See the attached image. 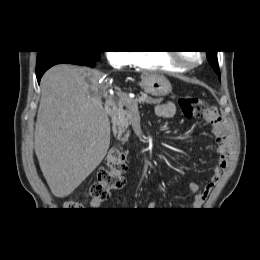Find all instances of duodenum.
<instances>
[{
    "label": "duodenum",
    "instance_id": "1",
    "mask_svg": "<svg viewBox=\"0 0 260 260\" xmlns=\"http://www.w3.org/2000/svg\"><path fill=\"white\" fill-rule=\"evenodd\" d=\"M106 112L110 117H114L116 115V107L112 103H107L105 106Z\"/></svg>",
    "mask_w": 260,
    "mask_h": 260
}]
</instances>
